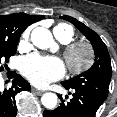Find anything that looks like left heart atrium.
<instances>
[{
  "instance_id": "39dd6f15",
  "label": "left heart atrium",
  "mask_w": 117,
  "mask_h": 117,
  "mask_svg": "<svg viewBox=\"0 0 117 117\" xmlns=\"http://www.w3.org/2000/svg\"><path fill=\"white\" fill-rule=\"evenodd\" d=\"M21 70L30 82L39 87L59 80L65 74V67L61 60L55 57H42L37 54L23 58Z\"/></svg>"
}]
</instances>
